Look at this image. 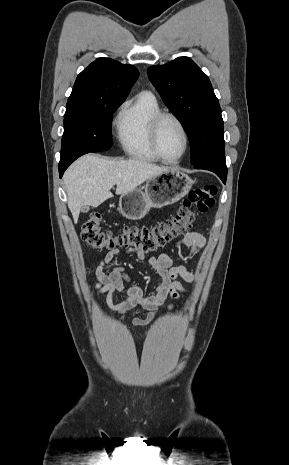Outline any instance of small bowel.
<instances>
[{
	"instance_id": "1",
	"label": "small bowel",
	"mask_w": 289,
	"mask_h": 465,
	"mask_svg": "<svg viewBox=\"0 0 289 465\" xmlns=\"http://www.w3.org/2000/svg\"><path fill=\"white\" fill-rule=\"evenodd\" d=\"M206 240L198 232L186 233L175 243V247L190 248L191 255L196 256L205 246ZM118 250L109 251L104 258L98 263L95 275L97 283L95 291L98 295L107 294V305L118 315H123L127 311L141 307L148 310L145 318L137 317L133 320L136 326H145L150 324L156 317L157 309L162 306L167 297L174 299L179 298L185 288L181 281L191 283L194 281V275L183 265H173L169 253L162 252L158 256H151L147 259L150 268L158 275L159 283L154 291L145 293L133 280L125 273V268L113 264V259L118 254ZM128 254H135L138 260H144L145 254L128 249ZM105 266H110L111 271L106 273ZM115 292L125 293L126 298L120 303L113 302ZM172 309V306H168Z\"/></svg>"
}]
</instances>
